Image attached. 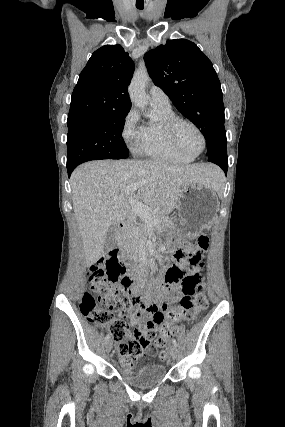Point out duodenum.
Here are the masks:
<instances>
[{
  "mask_svg": "<svg viewBox=\"0 0 285 427\" xmlns=\"http://www.w3.org/2000/svg\"><path fill=\"white\" fill-rule=\"evenodd\" d=\"M128 226V223H127V221L125 220V219H118L117 221H116V223H115V227L118 229V230H123V229H125L126 227ZM114 253H118L116 250H114L113 251Z\"/></svg>",
  "mask_w": 285,
  "mask_h": 427,
  "instance_id": "duodenum-1",
  "label": "duodenum"
}]
</instances>
